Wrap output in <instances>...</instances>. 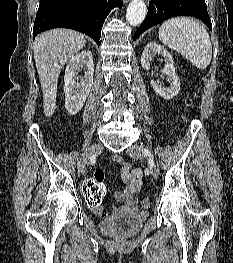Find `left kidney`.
Returning <instances> with one entry per match:
<instances>
[{"label":"left kidney","instance_id":"1","mask_svg":"<svg viewBox=\"0 0 233 263\" xmlns=\"http://www.w3.org/2000/svg\"><path fill=\"white\" fill-rule=\"evenodd\" d=\"M157 55L164 57L165 65L162 73L167 76V81L170 83V86L166 88L161 82L155 80H151V85L158 95L165 100H170L179 93L180 83L175 73L173 58L167 49L155 42L148 43L141 56V65L145 70H150L152 61Z\"/></svg>","mask_w":233,"mask_h":263}]
</instances>
